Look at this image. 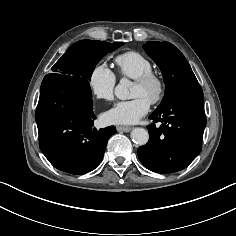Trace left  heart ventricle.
Instances as JSON below:
<instances>
[{
	"mask_svg": "<svg viewBox=\"0 0 236 236\" xmlns=\"http://www.w3.org/2000/svg\"><path fill=\"white\" fill-rule=\"evenodd\" d=\"M155 88L154 86H141L137 83H134L131 91L132 97L142 96L148 101L151 100L154 94Z\"/></svg>",
	"mask_w": 236,
	"mask_h": 236,
	"instance_id": "left-heart-ventricle-1",
	"label": "left heart ventricle"
}]
</instances>
